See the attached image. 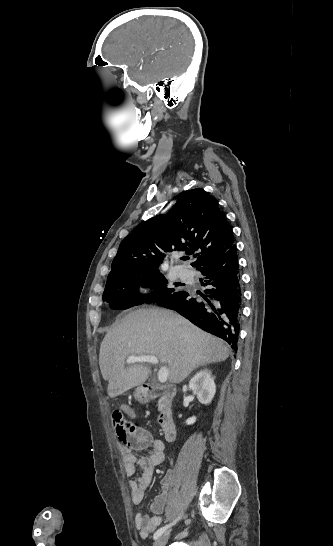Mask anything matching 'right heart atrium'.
<instances>
[{
  "mask_svg": "<svg viewBox=\"0 0 333 546\" xmlns=\"http://www.w3.org/2000/svg\"><path fill=\"white\" fill-rule=\"evenodd\" d=\"M156 293V288L151 283L142 282L135 286L134 295L136 300L144 301L152 298Z\"/></svg>",
  "mask_w": 333,
  "mask_h": 546,
  "instance_id": "obj_1",
  "label": "right heart atrium"
}]
</instances>
